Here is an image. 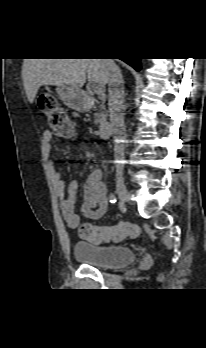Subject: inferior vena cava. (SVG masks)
I'll return each mask as SVG.
<instances>
[{
    "mask_svg": "<svg viewBox=\"0 0 206 348\" xmlns=\"http://www.w3.org/2000/svg\"><path fill=\"white\" fill-rule=\"evenodd\" d=\"M108 69V107L112 133L114 135V156L116 160L124 159L125 125L123 114L124 82L119 67L113 59H103ZM122 169V167H120Z\"/></svg>",
    "mask_w": 206,
    "mask_h": 348,
    "instance_id": "602c4592",
    "label": "inferior vena cava"
}]
</instances>
